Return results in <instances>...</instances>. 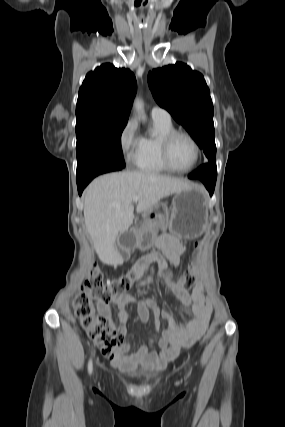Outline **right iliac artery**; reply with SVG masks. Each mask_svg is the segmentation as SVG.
<instances>
[{"label": "right iliac artery", "mask_w": 285, "mask_h": 427, "mask_svg": "<svg viewBox=\"0 0 285 427\" xmlns=\"http://www.w3.org/2000/svg\"><path fill=\"white\" fill-rule=\"evenodd\" d=\"M88 371L90 374L92 373V360H90L88 363Z\"/></svg>", "instance_id": "1"}]
</instances>
